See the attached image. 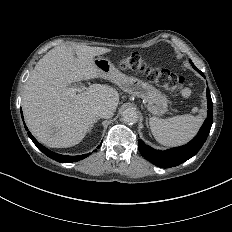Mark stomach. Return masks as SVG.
Listing matches in <instances>:
<instances>
[{
  "label": "stomach",
  "mask_w": 232,
  "mask_h": 232,
  "mask_svg": "<svg viewBox=\"0 0 232 232\" xmlns=\"http://www.w3.org/2000/svg\"><path fill=\"white\" fill-rule=\"evenodd\" d=\"M100 77L115 83L120 89L134 97L142 98L148 110L154 115L167 111V98L152 85L132 76H127L115 68L114 64L104 57L93 59Z\"/></svg>",
  "instance_id": "obj_1"
}]
</instances>
